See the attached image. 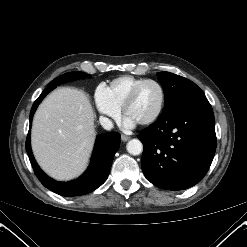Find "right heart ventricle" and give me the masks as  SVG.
I'll return each mask as SVG.
<instances>
[{"label":"right heart ventricle","instance_id":"e07e8e85","mask_svg":"<svg viewBox=\"0 0 247 247\" xmlns=\"http://www.w3.org/2000/svg\"><path fill=\"white\" fill-rule=\"evenodd\" d=\"M145 80L144 78L135 77L132 75H125L112 80L106 87L111 101L118 107L122 108L132 89Z\"/></svg>","mask_w":247,"mask_h":247}]
</instances>
